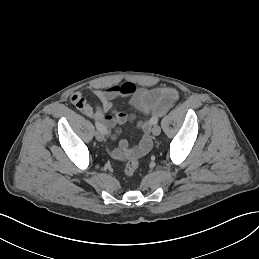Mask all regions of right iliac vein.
<instances>
[{
	"instance_id": "1",
	"label": "right iliac vein",
	"mask_w": 259,
	"mask_h": 259,
	"mask_svg": "<svg viewBox=\"0 0 259 259\" xmlns=\"http://www.w3.org/2000/svg\"><path fill=\"white\" fill-rule=\"evenodd\" d=\"M95 137H96V139L98 141H103L104 140V134L101 131H99V130H97L95 132Z\"/></svg>"
}]
</instances>
